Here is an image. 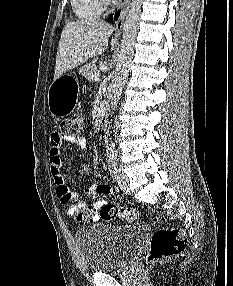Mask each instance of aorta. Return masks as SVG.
<instances>
[{
	"label": "aorta",
	"mask_w": 233,
	"mask_h": 286,
	"mask_svg": "<svg viewBox=\"0 0 233 286\" xmlns=\"http://www.w3.org/2000/svg\"><path fill=\"white\" fill-rule=\"evenodd\" d=\"M142 0H131L130 7L123 26L121 50L117 59L115 78L113 83L111 105L112 109L118 104L129 73V65L133 55Z\"/></svg>",
	"instance_id": "762f6f07"
}]
</instances>
